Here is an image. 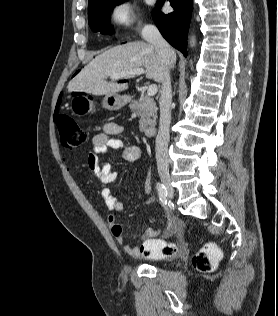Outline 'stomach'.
I'll list each match as a JSON object with an SVG mask.
<instances>
[{
    "instance_id": "1",
    "label": "stomach",
    "mask_w": 278,
    "mask_h": 316,
    "mask_svg": "<svg viewBox=\"0 0 278 316\" xmlns=\"http://www.w3.org/2000/svg\"><path fill=\"white\" fill-rule=\"evenodd\" d=\"M126 103L127 98L117 94H107L102 101L103 107L107 110H118ZM70 109L74 115L84 116L93 111L94 104L88 96L74 93L71 95Z\"/></svg>"
}]
</instances>
